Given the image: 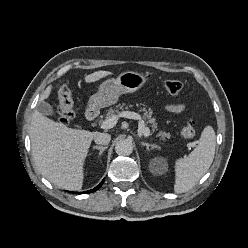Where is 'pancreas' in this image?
Wrapping results in <instances>:
<instances>
[{
  "label": "pancreas",
  "instance_id": "1",
  "mask_svg": "<svg viewBox=\"0 0 248 248\" xmlns=\"http://www.w3.org/2000/svg\"><path fill=\"white\" fill-rule=\"evenodd\" d=\"M124 108H127L125 107V104L122 105L119 104L116 106V109L115 108L108 109L106 114V119L111 118L112 116L115 115V113L119 112V109L123 110ZM142 111H143L144 119H146L148 123L151 124L150 126L152 127V130L155 131L157 128V124L155 123V118L152 117V113H153L152 110L151 109L146 110L145 108H143ZM157 137H160L162 140H165L166 138H170V134L165 131H160L157 133Z\"/></svg>",
  "mask_w": 248,
  "mask_h": 248
}]
</instances>
